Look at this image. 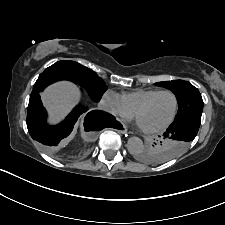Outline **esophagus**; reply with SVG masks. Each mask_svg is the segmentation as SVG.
Segmentation results:
<instances>
[{
    "mask_svg": "<svg viewBox=\"0 0 225 225\" xmlns=\"http://www.w3.org/2000/svg\"><path fill=\"white\" fill-rule=\"evenodd\" d=\"M116 130L121 134H126L128 132L127 127L123 123L119 124Z\"/></svg>",
    "mask_w": 225,
    "mask_h": 225,
    "instance_id": "34e87169",
    "label": "esophagus"
}]
</instances>
